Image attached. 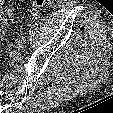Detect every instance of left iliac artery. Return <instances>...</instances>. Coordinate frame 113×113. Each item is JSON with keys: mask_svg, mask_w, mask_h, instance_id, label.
I'll return each mask as SVG.
<instances>
[{"mask_svg": "<svg viewBox=\"0 0 113 113\" xmlns=\"http://www.w3.org/2000/svg\"><path fill=\"white\" fill-rule=\"evenodd\" d=\"M21 41L25 42V39H24V37H22V38H21Z\"/></svg>", "mask_w": 113, "mask_h": 113, "instance_id": "obj_1", "label": "left iliac artery"}]
</instances>
